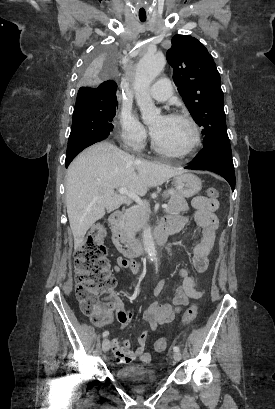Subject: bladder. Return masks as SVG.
Returning <instances> with one entry per match:
<instances>
[{
	"mask_svg": "<svg viewBox=\"0 0 275 409\" xmlns=\"http://www.w3.org/2000/svg\"><path fill=\"white\" fill-rule=\"evenodd\" d=\"M117 382H123L131 389L153 386L161 381V376L150 366L139 363H126L115 369Z\"/></svg>",
	"mask_w": 275,
	"mask_h": 409,
	"instance_id": "bladder-1",
	"label": "bladder"
}]
</instances>
